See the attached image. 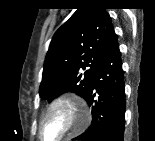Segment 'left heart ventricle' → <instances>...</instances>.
Listing matches in <instances>:
<instances>
[{"label":"left heart ventricle","mask_w":155,"mask_h":141,"mask_svg":"<svg viewBox=\"0 0 155 141\" xmlns=\"http://www.w3.org/2000/svg\"><path fill=\"white\" fill-rule=\"evenodd\" d=\"M67 127L66 118L62 111L51 114L43 124L42 132L46 140L58 137Z\"/></svg>","instance_id":"obj_1"}]
</instances>
